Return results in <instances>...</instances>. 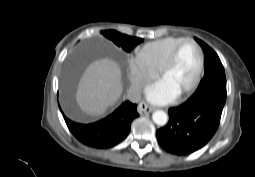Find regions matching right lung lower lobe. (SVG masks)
I'll list each match as a JSON object with an SVG mask.
<instances>
[{
	"mask_svg": "<svg viewBox=\"0 0 255 177\" xmlns=\"http://www.w3.org/2000/svg\"><path fill=\"white\" fill-rule=\"evenodd\" d=\"M138 116L137 105L126 101L112 114L95 123L81 124L66 116L64 119L71 133L81 143L96 149H108L127 137L132 121Z\"/></svg>",
	"mask_w": 255,
	"mask_h": 177,
	"instance_id": "right-lung-lower-lobe-1",
	"label": "right lung lower lobe"
}]
</instances>
